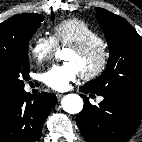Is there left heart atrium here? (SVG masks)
Here are the masks:
<instances>
[{
	"mask_svg": "<svg viewBox=\"0 0 142 142\" xmlns=\"http://www.w3.org/2000/svg\"><path fill=\"white\" fill-rule=\"evenodd\" d=\"M80 75L78 67L71 62L53 65L43 74L44 83L53 90L66 91Z\"/></svg>",
	"mask_w": 142,
	"mask_h": 142,
	"instance_id": "1",
	"label": "left heart atrium"
}]
</instances>
